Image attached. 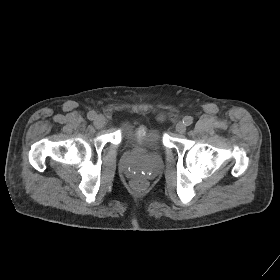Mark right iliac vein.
<instances>
[{"mask_svg": "<svg viewBox=\"0 0 280 280\" xmlns=\"http://www.w3.org/2000/svg\"><path fill=\"white\" fill-rule=\"evenodd\" d=\"M106 124V118L102 115H98L94 121V125L97 127V128H102L104 127Z\"/></svg>", "mask_w": 280, "mask_h": 280, "instance_id": "63e3f726", "label": "right iliac vein"}]
</instances>
